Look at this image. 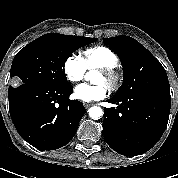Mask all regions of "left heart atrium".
<instances>
[{"label": "left heart atrium", "mask_w": 178, "mask_h": 178, "mask_svg": "<svg viewBox=\"0 0 178 178\" xmlns=\"http://www.w3.org/2000/svg\"><path fill=\"white\" fill-rule=\"evenodd\" d=\"M108 93V88L105 84H80L74 89V95L77 99L84 102H92L103 99Z\"/></svg>", "instance_id": "1"}]
</instances>
